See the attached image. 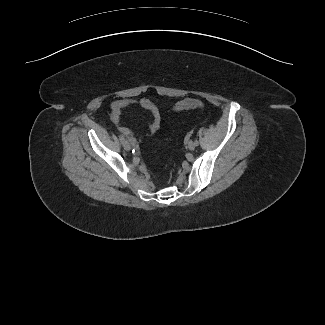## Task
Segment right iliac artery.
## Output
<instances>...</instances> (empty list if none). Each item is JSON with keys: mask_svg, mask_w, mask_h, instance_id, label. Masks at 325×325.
<instances>
[{"mask_svg": "<svg viewBox=\"0 0 325 325\" xmlns=\"http://www.w3.org/2000/svg\"><path fill=\"white\" fill-rule=\"evenodd\" d=\"M119 139L121 142H123L125 140V138L123 137V135H119Z\"/></svg>", "mask_w": 325, "mask_h": 325, "instance_id": "right-iliac-artery-1", "label": "right iliac artery"}]
</instances>
